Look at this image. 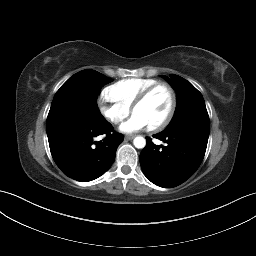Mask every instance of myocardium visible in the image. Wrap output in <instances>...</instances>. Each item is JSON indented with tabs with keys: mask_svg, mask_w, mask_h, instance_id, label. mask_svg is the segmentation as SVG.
<instances>
[{
	"mask_svg": "<svg viewBox=\"0 0 256 256\" xmlns=\"http://www.w3.org/2000/svg\"><path fill=\"white\" fill-rule=\"evenodd\" d=\"M161 87H164L168 90L170 97H171V104H170V108H169L166 116L160 122H158L152 126H149V129H151V130H160V129L166 127L169 124V122L171 121V119L174 115L176 106H177V95H176V92L173 89V87L166 82H158L154 85H151L137 97V99L134 101V103L132 105V111H133L136 107L143 104L156 89L161 88Z\"/></svg>",
	"mask_w": 256,
	"mask_h": 256,
	"instance_id": "obj_1",
	"label": "myocardium"
}]
</instances>
